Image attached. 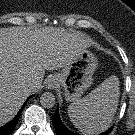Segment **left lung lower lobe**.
I'll return each mask as SVG.
<instances>
[{
    "mask_svg": "<svg viewBox=\"0 0 135 135\" xmlns=\"http://www.w3.org/2000/svg\"><path fill=\"white\" fill-rule=\"evenodd\" d=\"M52 121L55 126L57 135H79V134H75V133L71 132L70 130H68L66 128V126L62 123V121L59 117L58 109H57L56 113L52 116ZM112 128L113 127H111L106 132H104L100 135H108L111 132Z\"/></svg>",
    "mask_w": 135,
    "mask_h": 135,
    "instance_id": "left-lung-lower-lobe-1",
    "label": "left lung lower lobe"
}]
</instances>
